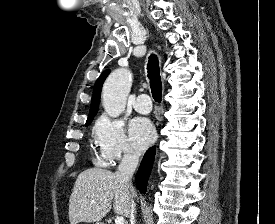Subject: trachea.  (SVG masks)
I'll return each instance as SVG.
<instances>
[{
    "instance_id": "obj_1",
    "label": "trachea",
    "mask_w": 275,
    "mask_h": 224,
    "mask_svg": "<svg viewBox=\"0 0 275 224\" xmlns=\"http://www.w3.org/2000/svg\"><path fill=\"white\" fill-rule=\"evenodd\" d=\"M147 69L153 99L160 103L162 98V82L160 77L159 61L153 54L149 57Z\"/></svg>"
}]
</instances>
